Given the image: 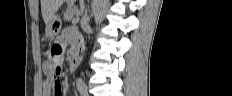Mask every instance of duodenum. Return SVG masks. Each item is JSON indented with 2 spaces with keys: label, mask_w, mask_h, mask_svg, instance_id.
Here are the masks:
<instances>
[{
  "label": "duodenum",
  "mask_w": 232,
  "mask_h": 96,
  "mask_svg": "<svg viewBox=\"0 0 232 96\" xmlns=\"http://www.w3.org/2000/svg\"><path fill=\"white\" fill-rule=\"evenodd\" d=\"M81 56H82L81 47H80V45H77L74 48L73 53H72V59L70 61V65H69L70 71H74L77 68L79 61L81 59Z\"/></svg>",
  "instance_id": "1"
}]
</instances>
